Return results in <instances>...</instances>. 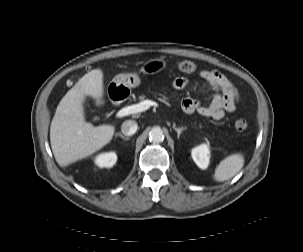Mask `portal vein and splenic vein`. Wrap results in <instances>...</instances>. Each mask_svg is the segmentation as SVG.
<instances>
[{
    "instance_id": "18ae733b",
    "label": "portal vein and splenic vein",
    "mask_w": 303,
    "mask_h": 252,
    "mask_svg": "<svg viewBox=\"0 0 303 252\" xmlns=\"http://www.w3.org/2000/svg\"><path fill=\"white\" fill-rule=\"evenodd\" d=\"M157 105L158 104L152 100H144L138 104H134V105L122 108L115 114V117L122 118L124 116H128L131 114L144 112V111L148 110L151 106H157Z\"/></svg>"
}]
</instances>
